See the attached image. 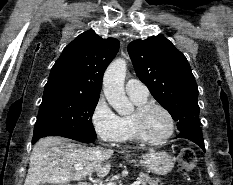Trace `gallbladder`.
<instances>
[{"instance_id": "obj_1", "label": "gallbladder", "mask_w": 233, "mask_h": 185, "mask_svg": "<svg viewBox=\"0 0 233 185\" xmlns=\"http://www.w3.org/2000/svg\"><path fill=\"white\" fill-rule=\"evenodd\" d=\"M38 185H57V184H52V183H48V182H41Z\"/></svg>"}]
</instances>
